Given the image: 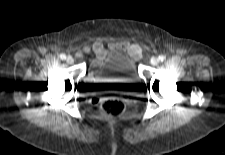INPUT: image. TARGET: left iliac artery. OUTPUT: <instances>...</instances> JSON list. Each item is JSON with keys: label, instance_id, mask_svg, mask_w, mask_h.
<instances>
[{"label": "left iliac artery", "instance_id": "44dca946", "mask_svg": "<svg viewBox=\"0 0 225 155\" xmlns=\"http://www.w3.org/2000/svg\"><path fill=\"white\" fill-rule=\"evenodd\" d=\"M159 60H160V61H164V60H165V56L160 55V56H159Z\"/></svg>", "mask_w": 225, "mask_h": 155}]
</instances>
